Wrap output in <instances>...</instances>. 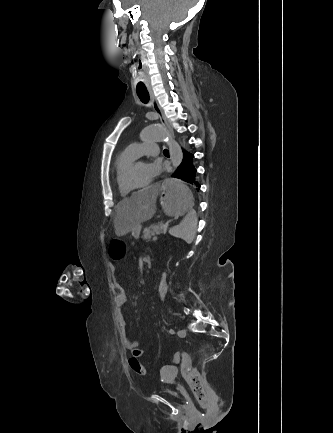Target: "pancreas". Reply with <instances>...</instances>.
Returning <instances> with one entry per match:
<instances>
[{"label": "pancreas", "mask_w": 333, "mask_h": 433, "mask_svg": "<svg viewBox=\"0 0 333 433\" xmlns=\"http://www.w3.org/2000/svg\"><path fill=\"white\" fill-rule=\"evenodd\" d=\"M166 225L165 221H160L156 224L150 225L148 228H145L143 230V240H150L153 237H156L159 233L162 232V227Z\"/></svg>", "instance_id": "cf45deb5"}]
</instances>
